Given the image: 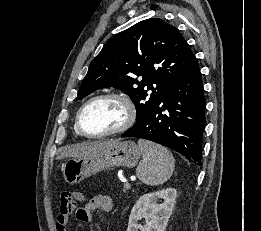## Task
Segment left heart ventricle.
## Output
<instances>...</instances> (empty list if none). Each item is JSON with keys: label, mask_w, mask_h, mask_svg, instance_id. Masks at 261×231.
Listing matches in <instances>:
<instances>
[{"label": "left heart ventricle", "mask_w": 261, "mask_h": 231, "mask_svg": "<svg viewBox=\"0 0 261 231\" xmlns=\"http://www.w3.org/2000/svg\"><path fill=\"white\" fill-rule=\"evenodd\" d=\"M126 120L124 105L116 99H101L83 112L81 125L90 134L104 133L120 127Z\"/></svg>", "instance_id": "b2bd125f"}]
</instances>
